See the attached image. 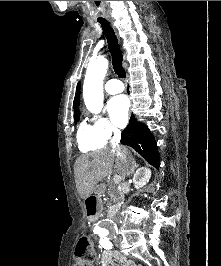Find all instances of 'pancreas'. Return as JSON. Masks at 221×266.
<instances>
[{
	"mask_svg": "<svg viewBox=\"0 0 221 266\" xmlns=\"http://www.w3.org/2000/svg\"><path fill=\"white\" fill-rule=\"evenodd\" d=\"M108 195L111 201V203L109 204L110 212H113L119 208L120 203L123 199V196H122V193H120L116 188H113V187H110L108 189Z\"/></svg>",
	"mask_w": 221,
	"mask_h": 266,
	"instance_id": "obj_1",
	"label": "pancreas"
}]
</instances>
